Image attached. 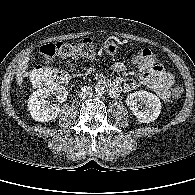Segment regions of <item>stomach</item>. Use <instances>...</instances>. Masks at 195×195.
Wrapping results in <instances>:
<instances>
[{"mask_svg":"<svg viewBox=\"0 0 195 195\" xmlns=\"http://www.w3.org/2000/svg\"><path fill=\"white\" fill-rule=\"evenodd\" d=\"M105 51L110 55H115L118 50V46L114 42H109L104 46Z\"/></svg>","mask_w":195,"mask_h":195,"instance_id":"obj_1","label":"stomach"}]
</instances>
